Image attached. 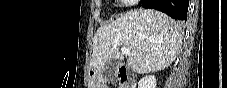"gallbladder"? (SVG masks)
Returning <instances> with one entry per match:
<instances>
[{
  "label": "gallbladder",
  "instance_id": "bac80fb5",
  "mask_svg": "<svg viewBox=\"0 0 227 88\" xmlns=\"http://www.w3.org/2000/svg\"><path fill=\"white\" fill-rule=\"evenodd\" d=\"M120 61L113 59L108 61L103 67V77L107 82H116V67L119 65Z\"/></svg>",
  "mask_w": 227,
  "mask_h": 88
}]
</instances>
